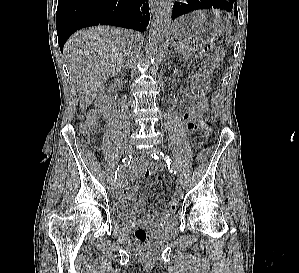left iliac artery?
Masks as SVG:
<instances>
[{"label":"left iliac artery","mask_w":299,"mask_h":273,"mask_svg":"<svg viewBox=\"0 0 299 273\" xmlns=\"http://www.w3.org/2000/svg\"><path fill=\"white\" fill-rule=\"evenodd\" d=\"M151 157L154 159H159V158H163L165 159L167 165H168V169L173 173V174H177L178 173V168L177 166L173 163V161L167 156L165 155L163 152L160 151H156L151 153Z\"/></svg>","instance_id":"obj_1"}]
</instances>
